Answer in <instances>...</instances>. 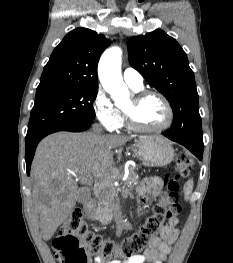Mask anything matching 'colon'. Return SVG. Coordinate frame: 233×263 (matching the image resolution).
<instances>
[{"label": "colon", "instance_id": "5ec220e1", "mask_svg": "<svg viewBox=\"0 0 233 263\" xmlns=\"http://www.w3.org/2000/svg\"><path fill=\"white\" fill-rule=\"evenodd\" d=\"M190 170V157L184 152L178 153L174 172L165 178L166 191L161 202L154 207L153 214L135 233L119 243L90 230L83 212L74 210L55 239L56 257L61 263H91L97 256L103 259L126 260L140 255L160 233L164 221L180 215L177 180L187 177Z\"/></svg>", "mask_w": 233, "mask_h": 263}]
</instances>
